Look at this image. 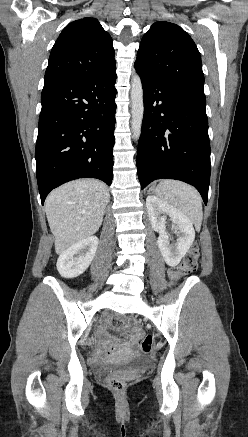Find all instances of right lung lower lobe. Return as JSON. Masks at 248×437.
I'll return each mask as SVG.
<instances>
[{
    "instance_id": "obj_1",
    "label": "right lung lower lobe",
    "mask_w": 248,
    "mask_h": 437,
    "mask_svg": "<svg viewBox=\"0 0 248 437\" xmlns=\"http://www.w3.org/2000/svg\"><path fill=\"white\" fill-rule=\"evenodd\" d=\"M116 68L82 80L44 82L35 150L42 204L70 180L113 179Z\"/></svg>"
}]
</instances>
